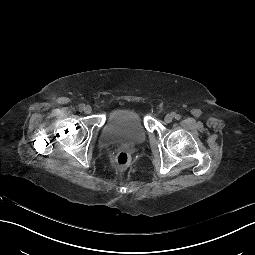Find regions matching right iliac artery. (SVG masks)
Instances as JSON below:
<instances>
[{"instance_id": "obj_1", "label": "right iliac artery", "mask_w": 255, "mask_h": 255, "mask_svg": "<svg viewBox=\"0 0 255 255\" xmlns=\"http://www.w3.org/2000/svg\"><path fill=\"white\" fill-rule=\"evenodd\" d=\"M84 108H85V105H84V104H80V105H79V110H80V111L84 110Z\"/></svg>"}]
</instances>
